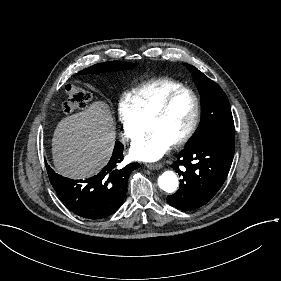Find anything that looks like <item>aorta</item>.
Returning a JSON list of instances; mask_svg holds the SVG:
<instances>
[{"label":"aorta","mask_w":281,"mask_h":281,"mask_svg":"<svg viewBox=\"0 0 281 281\" xmlns=\"http://www.w3.org/2000/svg\"><path fill=\"white\" fill-rule=\"evenodd\" d=\"M158 185L163 191L173 193L178 187V178L173 171H165L159 177Z\"/></svg>","instance_id":"1"}]
</instances>
